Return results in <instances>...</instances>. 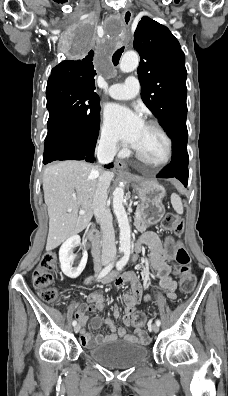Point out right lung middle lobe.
Masks as SVG:
<instances>
[{
  "label": "right lung middle lobe",
  "instance_id": "dd1d6c3e",
  "mask_svg": "<svg viewBox=\"0 0 228 396\" xmlns=\"http://www.w3.org/2000/svg\"><path fill=\"white\" fill-rule=\"evenodd\" d=\"M94 40L87 30L77 34L73 53L85 55ZM48 134L60 133L71 138L86 152L94 148L100 127V98L90 89L65 80L48 81L46 89Z\"/></svg>",
  "mask_w": 228,
  "mask_h": 396
}]
</instances>
